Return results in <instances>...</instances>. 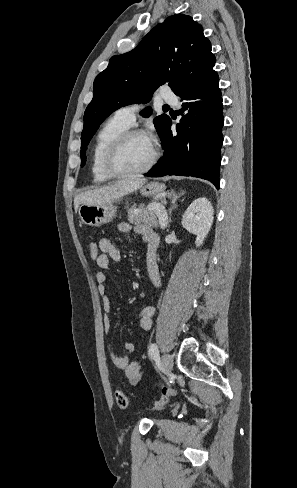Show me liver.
<instances>
[{"label":"liver","instance_id":"6515ba94","mask_svg":"<svg viewBox=\"0 0 297 488\" xmlns=\"http://www.w3.org/2000/svg\"><path fill=\"white\" fill-rule=\"evenodd\" d=\"M147 180L140 176H133L95 190L85 191L74 199L75 210L80 204L105 205L112 204L119 198L141 188Z\"/></svg>","mask_w":297,"mask_h":488}]
</instances>
